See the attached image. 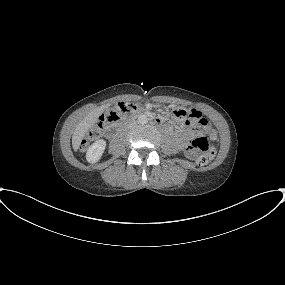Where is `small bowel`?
I'll return each instance as SVG.
<instances>
[{"label": "small bowel", "mask_w": 285, "mask_h": 285, "mask_svg": "<svg viewBox=\"0 0 285 285\" xmlns=\"http://www.w3.org/2000/svg\"><path fill=\"white\" fill-rule=\"evenodd\" d=\"M190 119L192 120L190 123H183V127L187 126V125H203L202 123H204V119L202 114L200 113V111H198L197 109H192L190 110ZM177 141H178V145L180 147V149L184 150L186 149V137H185V133L184 130H182L181 132H179L177 134ZM187 156L190 158H194L196 155L193 153H187Z\"/></svg>", "instance_id": "1"}]
</instances>
